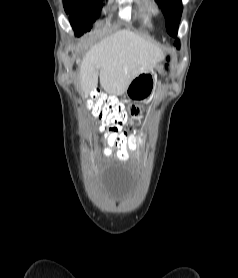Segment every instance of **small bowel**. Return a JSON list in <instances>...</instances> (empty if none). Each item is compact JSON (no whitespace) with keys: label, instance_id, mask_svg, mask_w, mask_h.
I'll return each instance as SVG.
<instances>
[{"label":"small bowel","instance_id":"small-bowel-1","mask_svg":"<svg viewBox=\"0 0 238 278\" xmlns=\"http://www.w3.org/2000/svg\"><path fill=\"white\" fill-rule=\"evenodd\" d=\"M138 112H139V109H138V108H134V109H133V114L136 115ZM105 137H108L107 134L105 135ZM119 137H134V136H132L131 134L128 133L127 136H119Z\"/></svg>","mask_w":238,"mask_h":278}]
</instances>
